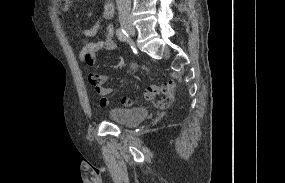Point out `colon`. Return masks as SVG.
<instances>
[{"label": "colon", "mask_w": 285, "mask_h": 183, "mask_svg": "<svg viewBox=\"0 0 285 183\" xmlns=\"http://www.w3.org/2000/svg\"><path fill=\"white\" fill-rule=\"evenodd\" d=\"M131 69H132V70H136V69H138V67L133 65V66L131 67ZM132 103H133V100L130 99V98L125 101V104H127V105H131Z\"/></svg>", "instance_id": "obj_1"}]
</instances>
